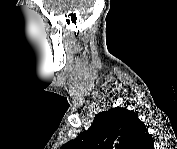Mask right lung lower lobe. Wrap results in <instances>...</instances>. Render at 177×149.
Here are the masks:
<instances>
[{
	"instance_id": "1",
	"label": "right lung lower lobe",
	"mask_w": 177,
	"mask_h": 149,
	"mask_svg": "<svg viewBox=\"0 0 177 149\" xmlns=\"http://www.w3.org/2000/svg\"><path fill=\"white\" fill-rule=\"evenodd\" d=\"M153 146H154V142H152V143L149 145L150 148H153Z\"/></svg>"
}]
</instances>
